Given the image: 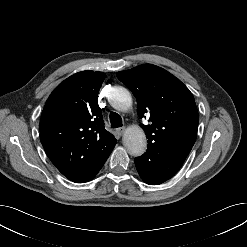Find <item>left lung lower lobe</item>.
I'll list each match as a JSON object with an SVG mask.
<instances>
[{"instance_id":"1","label":"left lung lower lobe","mask_w":247,"mask_h":247,"mask_svg":"<svg viewBox=\"0 0 247 247\" xmlns=\"http://www.w3.org/2000/svg\"><path fill=\"white\" fill-rule=\"evenodd\" d=\"M190 150L170 146L157 150L153 147L135 158L136 169L144 182L158 185L173 177L182 166Z\"/></svg>"}]
</instances>
